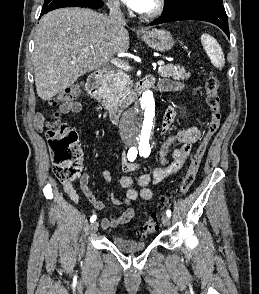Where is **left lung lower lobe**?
I'll return each mask as SVG.
<instances>
[{"instance_id":"obj_1","label":"left lung lower lobe","mask_w":259,"mask_h":294,"mask_svg":"<svg viewBox=\"0 0 259 294\" xmlns=\"http://www.w3.org/2000/svg\"><path fill=\"white\" fill-rule=\"evenodd\" d=\"M179 20H200L213 23L220 27L230 38L228 17L222 4L203 2L186 9L162 15L158 19L152 21L150 25H157L166 22Z\"/></svg>"}]
</instances>
